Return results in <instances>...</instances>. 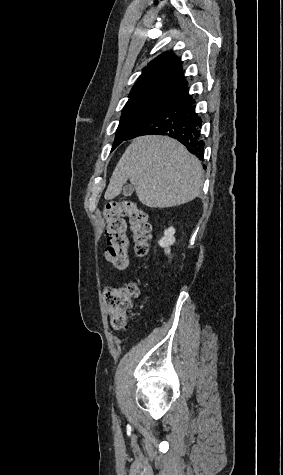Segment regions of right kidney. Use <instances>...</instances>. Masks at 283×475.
<instances>
[{
  "instance_id": "1",
  "label": "right kidney",
  "mask_w": 283,
  "mask_h": 475,
  "mask_svg": "<svg viewBox=\"0 0 283 475\" xmlns=\"http://www.w3.org/2000/svg\"><path fill=\"white\" fill-rule=\"evenodd\" d=\"M174 234V228H168V230H165L163 238L159 239L158 241L161 247H165V253H170L171 251L169 245H173L175 241Z\"/></svg>"
}]
</instances>
